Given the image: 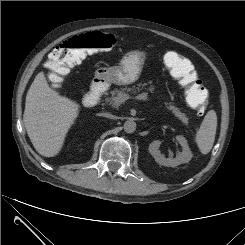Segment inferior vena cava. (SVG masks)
<instances>
[{
  "instance_id": "inferior-vena-cava-1",
  "label": "inferior vena cava",
  "mask_w": 245,
  "mask_h": 245,
  "mask_svg": "<svg viewBox=\"0 0 245 245\" xmlns=\"http://www.w3.org/2000/svg\"><path fill=\"white\" fill-rule=\"evenodd\" d=\"M102 116L106 117V118H110V119H114L115 117L111 114L108 113H102Z\"/></svg>"
}]
</instances>
